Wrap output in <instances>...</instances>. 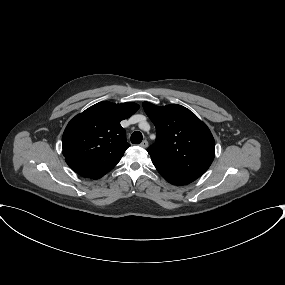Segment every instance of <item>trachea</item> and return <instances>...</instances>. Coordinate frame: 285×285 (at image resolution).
Masks as SVG:
<instances>
[{
    "label": "trachea",
    "instance_id": "obj_1",
    "mask_svg": "<svg viewBox=\"0 0 285 285\" xmlns=\"http://www.w3.org/2000/svg\"><path fill=\"white\" fill-rule=\"evenodd\" d=\"M142 138H143L142 133L139 131H135L131 135V143L132 144H140L142 141Z\"/></svg>",
    "mask_w": 285,
    "mask_h": 285
}]
</instances>
